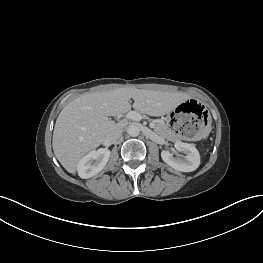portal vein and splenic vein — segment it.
Returning a JSON list of instances; mask_svg holds the SVG:
<instances>
[{
  "instance_id": "1",
  "label": "portal vein and splenic vein",
  "mask_w": 263,
  "mask_h": 263,
  "mask_svg": "<svg viewBox=\"0 0 263 263\" xmlns=\"http://www.w3.org/2000/svg\"><path fill=\"white\" fill-rule=\"evenodd\" d=\"M126 117L128 119L134 120V121H140L142 119V115L139 112L136 111H130L127 113ZM150 128H155V124L153 122L149 123Z\"/></svg>"
}]
</instances>
